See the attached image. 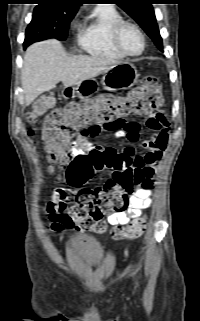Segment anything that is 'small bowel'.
I'll return each mask as SVG.
<instances>
[{"mask_svg": "<svg viewBox=\"0 0 200 321\" xmlns=\"http://www.w3.org/2000/svg\"><path fill=\"white\" fill-rule=\"evenodd\" d=\"M105 92V89H102ZM117 98L122 96L120 91L115 93ZM145 125L154 131V135L144 140L141 144L143 151L138 152L133 146H126L121 152H117L110 147H101L92 143L88 136H79L72 143V156L79 153H88L93 150L104 152H115L116 154L128 158L133 168L141 177L140 185L133 191L128 200V206L123 211L113 212L107 216V222L112 226H122L131 219L138 218L143 209L152 204L153 183L156 174V165L161 160L169 142L170 122L165 112L152 111L146 119ZM115 130L114 135L130 143H136L139 139L141 124L135 121L123 120ZM69 204L67 193L62 188H55L51 194V202L47 205L51 228L54 231L73 228L74 225L65 218ZM51 206V209L48 207Z\"/></svg>", "mask_w": 200, "mask_h": 321, "instance_id": "1", "label": "small bowel"}]
</instances>
